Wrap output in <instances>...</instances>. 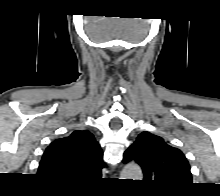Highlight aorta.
I'll list each match as a JSON object with an SVG mask.
<instances>
[{
  "mask_svg": "<svg viewBox=\"0 0 220 196\" xmlns=\"http://www.w3.org/2000/svg\"><path fill=\"white\" fill-rule=\"evenodd\" d=\"M143 174L141 168L134 163L125 165L121 172V179L142 180Z\"/></svg>",
  "mask_w": 220,
  "mask_h": 196,
  "instance_id": "aorta-1",
  "label": "aorta"
}]
</instances>
